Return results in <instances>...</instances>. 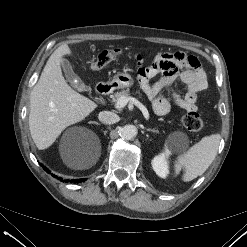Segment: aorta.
<instances>
[{
    "instance_id": "762f6f07",
    "label": "aorta",
    "mask_w": 247,
    "mask_h": 247,
    "mask_svg": "<svg viewBox=\"0 0 247 247\" xmlns=\"http://www.w3.org/2000/svg\"><path fill=\"white\" fill-rule=\"evenodd\" d=\"M137 133V128L134 125H125L119 131L121 138L125 140L134 139Z\"/></svg>"
}]
</instances>
